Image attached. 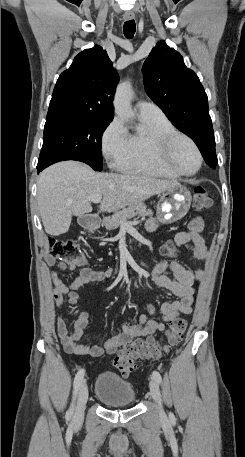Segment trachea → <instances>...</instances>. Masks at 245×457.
I'll use <instances>...</instances> for the list:
<instances>
[{"label":"trachea","mask_w":245,"mask_h":457,"mask_svg":"<svg viewBox=\"0 0 245 457\" xmlns=\"http://www.w3.org/2000/svg\"><path fill=\"white\" fill-rule=\"evenodd\" d=\"M136 31V25L134 20H128L124 23L123 33L126 38H132Z\"/></svg>","instance_id":"3493384b"}]
</instances>
